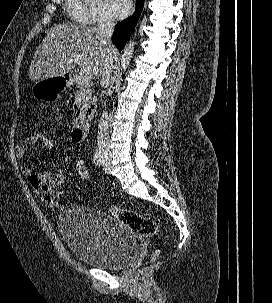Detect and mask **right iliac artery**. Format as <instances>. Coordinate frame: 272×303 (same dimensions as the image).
<instances>
[{
  "label": "right iliac artery",
  "mask_w": 272,
  "mask_h": 303,
  "mask_svg": "<svg viewBox=\"0 0 272 303\" xmlns=\"http://www.w3.org/2000/svg\"><path fill=\"white\" fill-rule=\"evenodd\" d=\"M94 163H95L97 166H101V164H102L101 151H100V149H96V150H95V153H94Z\"/></svg>",
  "instance_id": "right-iliac-artery-1"
}]
</instances>
